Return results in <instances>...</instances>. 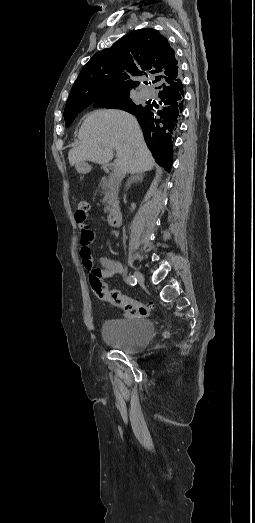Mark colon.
I'll return each instance as SVG.
<instances>
[{"mask_svg": "<svg viewBox=\"0 0 255 523\" xmlns=\"http://www.w3.org/2000/svg\"><path fill=\"white\" fill-rule=\"evenodd\" d=\"M88 211V202L80 201L77 204L75 218L79 225L87 222ZM89 279L90 284L99 299L132 314L146 316L150 313L151 307L149 305L116 290L107 288L96 273H90Z\"/></svg>", "mask_w": 255, "mask_h": 523, "instance_id": "obj_1", "label": "colon"}]
</instances>
